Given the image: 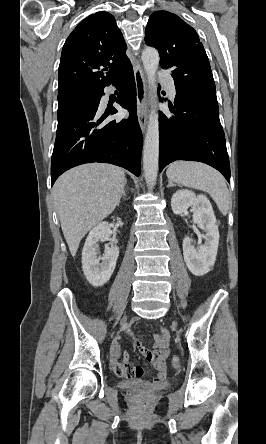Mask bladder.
<instances>
[{
	"mask_svg": "<svg viewBox=\"0 0 266 444\" xmlns=\"http://www.w3.org/2000/svg\"><path fill=\"white\" fill-rule=\"evenodd\" d=\"M124 388L126 391L133 392L135 394H143L147 392L166 391L170 389V385L163 383L160 385L149 386L136 381L127 380L124 382Z\"/></svg>",
	"mask_w": 266,
	"mask_h": 444,
	"instance_id": "1",
	"label": "bladder"
}]
</instances>
